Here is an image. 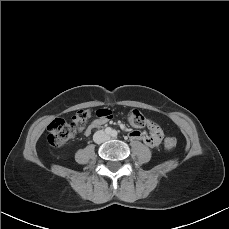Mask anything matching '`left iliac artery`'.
I'll list each match as a JSON object with an SVG mask.
<instances>
[{"label": "left iliac artery", "instance_id": "obj_1", "mask_svg": "<svg viewBox=\"0 0 229 229\" xmlns=\"http://www.w3.org/2000/svg\"><path fill=\"white\" fill-rule=\"evenodd\" d=\"M111 135H112L113 137H117L118 133H117L116 130H113L112 133H111Z\"/></svg>", "mask_w": 229, "mask_h": 229}]
</instances>
